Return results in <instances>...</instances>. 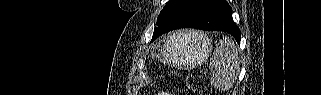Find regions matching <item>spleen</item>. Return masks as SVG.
Wrapping results in <instances>:
<instances>
[{
    "label": "spleen",
    "mask_w": 321,
    "mask_h": 95,
    "mask_svg": "<svg viewBox=\"0 0 321 95\" xmlns=\"http://www.w3.org/2000/svg\"><path fill=\"white\" fill-rule=\"evenodd\" d=\"M211 85L219 90L230 89L236 80L239 68V55L235 43L223 36L217 44L209 64Z\"/></svg>",
    "instance_id": "3e777b00"
}]
</instances>
